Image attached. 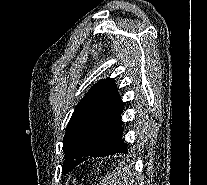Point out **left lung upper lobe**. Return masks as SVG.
Returning <instances> with one entry per match:
<instances>
[{
  "label": "left lung upper lobe",
  "instance_id": "obj_1",
  "mask_svg": "<svg viewBox=\"0 0 207 185\" xmlns=\"http://www.w3.org/2000/svg\"><path fill=\"white\" fill-rule=\"evenodd\" d=\"M117 91L113 79L100 80L76 106L63 139V172L71 171L84 155L106 149L122 122Z\"/></svg>",
  "mask_w": 207,
  "mask_h": 185
}]
</instances>
